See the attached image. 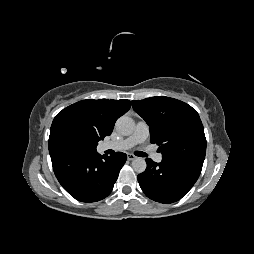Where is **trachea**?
Listing matches in <instances>:
<instances>
[{"instance_id":"3493384b","label":"trachea","mask_w":254,"mask_h":254,"mask_svg":"<svg viewBox=\"0 0 254 254\" xmlns=\"http://www.w3.org/2000/svg\"><path fill=\"white\" fill-rule=\"evenodd\" d=\"M135 155H136V156H139V157H146V156H147L146 153L141 152V151H136V152H135Z\"/></svg>"}]
</instances>
